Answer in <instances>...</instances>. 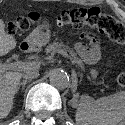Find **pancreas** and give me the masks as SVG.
Returning a JSON list of instances; mask_svg holds the SVG:
<instances>
[{
  "label": "pancreas",
  "instance_id": "obj_1",
  "mask_svg": "<svg viewBox=\"0 0 125 125\" xmlns=\"http://www.w3.org/2000/svg\"><path fill=\"white\" fill-rule=\"evenodd\" d=\"M60 50L68 52L70 54L69 58L72 60V62L82 68L81 60L76 57V53L72 49H70L69 46L59 42H52L45 48L46 53L59 52ZM93 74H96V72L93 71Z\"/></svg>",
  "mask_w": 125,
  "mask_h": 125
}]
</instances>
